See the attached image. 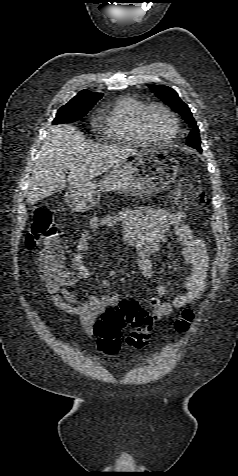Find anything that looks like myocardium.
Listing matches in <instances>:
<instances>
[{"mask_svg":"<svg viewBox=\"0 0 238 476\" xmlns=\"http://www.w3.org/2000/svg\"><path fill=\"white\" fill-rule=\"evenodd\" d=\"M155 108L163 110L171 118V120L173 122V125H174L173 133L166 140H157V139H155L154 137L151 136V134L149 133V131L147 129V125H146L147 115L152 109H155ZM138 127H139V130H140L142 136L148 142L156 144V145L170 144L177 137V135L179 133V129H180L179 119L176 116V114L167 105H165L163 103H160V102H153V103L147 104L141 109V111L138 115Z\"/></svg>","mask_w":238,"mask_h":476,"instance_id":"obj_1","label":"myocardium"}]
</instances>
